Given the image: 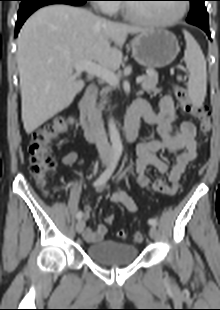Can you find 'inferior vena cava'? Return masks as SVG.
Wrapping results in <instances>:
<instances>
[{"mask_svg":"<svg viewBox=\"0 0 220 310\" xmlns=\"http://www.w3.org/2000/svg\"><path fill=\"white\" fill-rule=\"evenodd\" d=\"M96 147L101 157L112 155V148L108 142L103 121L98 117L93 127Z\"/></svg>","mask_w":220,"mask_h":310,"instance_id":"1","label":"inferior vena cava"}]
</instances>
